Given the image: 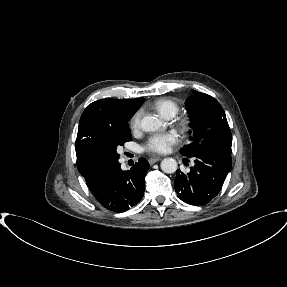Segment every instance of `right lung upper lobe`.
<instances>
[{
  "label": "right lung upper lobe",
  "mask_w": 287,
  "mask_h": 287,
  "mask_svg": "<svg viewBox=\"0 0 287 287\" xmlns=\"http://www.w3.org/2000/svg\"><path fill=\"white\" fill-rule=\"evenodd\" d=\"M144 100L101 99L86 107L75 142L77 168L85 180L102 165L98 157L99 138L112 129L128 124Z\"/></svg>",
  "instance_id": "obj_1"
}]
</instances>
